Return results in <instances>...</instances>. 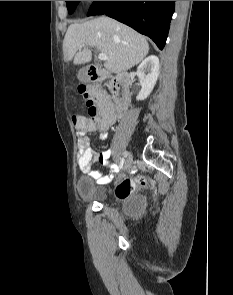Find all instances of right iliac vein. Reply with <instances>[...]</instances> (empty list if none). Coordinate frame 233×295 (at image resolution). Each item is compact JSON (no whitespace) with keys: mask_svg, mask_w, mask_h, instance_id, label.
Returning <instances> with one entry per match:
<instances>
[{"mask_svg":"<svg viewBox=\"0 0 233 295\" xmlns=\"http://www.w3.org/2000/svg\"><path fill=\"white\" fill-rule=\"evenodd\" d=\"M133 162V156L132 154H129V156L127 157L126 161H125V165H124V171L128 170Z\"/></svg>","mask_w":233,"mask_h":295,"instance_id":"63e3f726","label":"right iliac vein"}]
</instances>
